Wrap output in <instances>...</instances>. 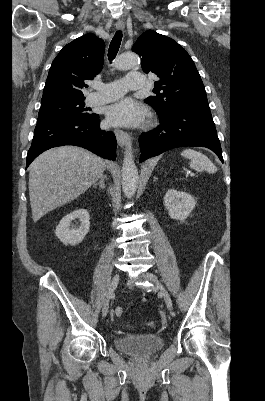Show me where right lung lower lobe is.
<instances>
[{"label": "right lung lower lobe", "mask_w": 265, "mask_h": 401, "mask_svg": "<svg viewBox=\"0 0 265 401\" xmlns=\"http://www.w3.org/2000/svg\"><path fill=\"white\" fill-rule=\"evenodd\" d=\"M99 125L97 114L86 118L51 117L37 121L26 167L42 152L62 145L80 146L103 158L115 160V135L101 130Z\"/></svg>", "instance_id": "1"}]
</instances>
